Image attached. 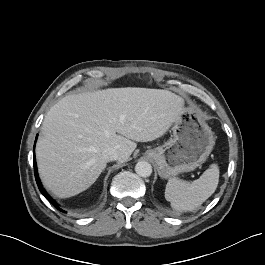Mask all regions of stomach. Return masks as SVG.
<instances>
[{
  "label": "stomach",
  "mask_w": 265,
  "mask_h": 265,
  "mask_svg": "<svg viewBox=\"0 0 265 265\" xmlns=\"http://www.w3.org/2000/svg\"><path fill=\"white\" fill-rule=\"evenodd\" d=\"M173 137L146 151L161 178H171L195 170L206 161L215 144L214 133L202 117L189 107L172 127Z\"/></svg>",
  "instance_id": "1"
}]
</instances>
